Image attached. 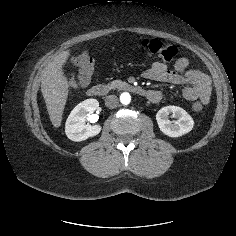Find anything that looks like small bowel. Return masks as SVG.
<instances>
[{
	"mask_svg": "<svg viewBox=\"0 0 236 236\" xmlns=\"http://www.w3.org/2000/svg\"><path fill=\"white\" fill-rule=\"evenodd\" d=\"M188 67L189 60L186 57L179 58L173 68H170L167 63L157 61L144 71L143 76L151 81L183 86L180 95L184 99L199 101L203 105L208 104L211 97L210 78L205 73ZM151 91L149 100L152 102H160L165 97L161 91Z\"/></svg>",
	"mask_w": 236,
	"mask_h": 236,
	"instance_id": "obj_1",
	"label": "small bowel"
}]
</instances>
